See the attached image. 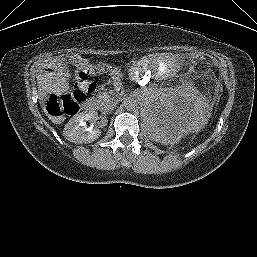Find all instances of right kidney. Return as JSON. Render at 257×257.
Wrapping results in <instances>:
<instances>
[{
    "instance_id": "ca27d5eb",
    "label": "right kidney",
    "mask_w": 257,
    "mask_h": 257,
    "mask_svg": "<svg viewBox=\"0 0 257 257\" xmlns=\"http://www.w3.org/2000/svg\"><path fill=\"white\" fill-rule=\"evenodd\" d=\"M95 115L92 112L77 114L65 125L63 136L72 143H91L101 135L100 129L86 127V122H93Z\"/></svg>"
}]
</instances>
